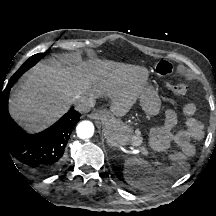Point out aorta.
Returning a JSON list of instances; mask_svg holds the SVG:
<instances>
[{
    "mask_svg": "<svg viewBox=\"0 0 216 216\" xmlns=\"http://www.w3.org/2000/svg\"><path fill=\"white\" fill-rule=\"evenodd\" d=\"M76 132L79 138L88 139L94 134V126L90 121H82L77 125Z\"/></svg>",
    "mask_w": 216,
    "mask_h": 216,
    "instance_id": "obj_1",
    "label": "aorta"
}]
</instances>
